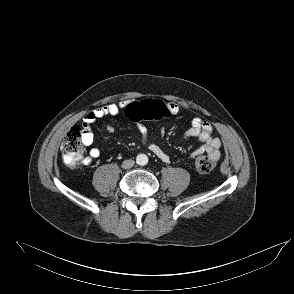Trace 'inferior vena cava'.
<instances>
[{
    "label": "inferior vena cava",
    "mask_w": 294,
    "mask_h": 294,
    "mask_svg": "<svg viewBox=\"0 0 294 294\" xmlns=\"http://www.w3.org/2000/svg\"><path fill=\"white\" fill-rule=\"evenodd\" d=\"M135 161L132 159L124 160L121 167L124 169H129L134 166Z\"/></svg>",
    "instance_id": "1"
}]
</instances>
